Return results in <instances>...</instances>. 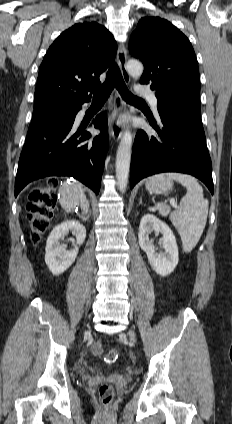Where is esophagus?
<instances>
[{
	"mask_svg": "<svg viewBox=\"0 0 232 424\" xmlns=\"http://www.w3.org/2000/svg\"><path fill=\"white\" fill-rule=\"evenodd\" d=\"M117 60L121 70L122 78L126 84H129L130 76L126 69L127 51L123 43H120L118 46ZM113 102V113L109 134L114 140L119 141L122 135V130L118 124V121L120 120V115L124 110L125 103L117 90L114 92Z\"/></svg>",
	"mask_w": 232,
	"mask_h": 424,
	"instance_id": "esophagus-1",
	"label": "esophagus"
}]
</instances>
